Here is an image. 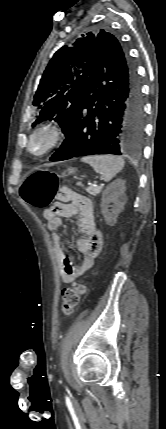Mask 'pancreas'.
I'll use <instances>...</instances> for the list:
<instances>
[{
	"label": "pancreas",
	"instance_id": "pancreas-1",
	"mask_svg": "<svg viewBox=\"0 0 166 429\" xmlns=\"http://www.w3.org/2000/svg\"><path fill=\"white\" fill-rule=\"evenodd\" d=\"M101 189H102V187H100V186H97V187L90 186V187H87V188H86V191H87L90 195H92V196H96L97 194H99V193L101 192Z\"/></svg>",
	"mask_w": 166,
	"mask_h": 429
}]
</instances>
